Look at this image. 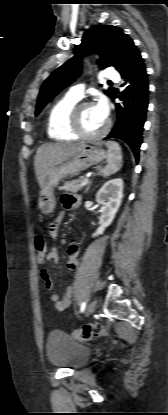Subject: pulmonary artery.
<instances>
[{
	"instance_id": "e3ab8cb5",
	"label": "pulmonary artery",
	"mask_w": 168,
	"mask_h": 415,
	"mask_svg": "<svg viewBox=\"0 0 168 415\" xmlns=\"http://www.w3.org/2000/svg\"><path fill=\"white\" fill-rule=\"evenodd\" d=\"M106 78L114 81V82H118L120 80V76L118 74V72H116L114 69L112 68H108L106 70ZM84 94V85L83 84H77L73 87H71L69 89V91L67 92V96L74 98L76 100H80L83 97Z\"/></svg>"
}]
</instances>
